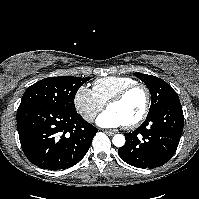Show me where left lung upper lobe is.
<instances>
[{"instance_id":"1","label":"left lung upper lobe","mask_w":199,"mask_h":199,"mask_svg":"<svg viewBox=\"0 0 199 199\" xmlns=\"http://www.w3.org/2000/svg\"><path fill=\"white\" fill-rule=\"evenodd\" d=\"M134 76L141 79L147 85L150 91L152 99L148 114L159 110L161 107L167 104L180 102L178 94L164 80L142 73H134Z\"/></svg>"}]
</instances>
